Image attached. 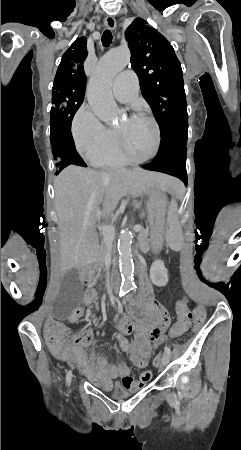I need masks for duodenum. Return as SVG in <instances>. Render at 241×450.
I'll return each instance as SVG.
<instances>
[{
  "mask_svg": "<svg viewBox=\"0 0 241 450\" xmlns=\"http://www.w3.org/2000/svg\"><path fill=\"white\" fill-rule=\"evenodd\" d=\"M138 274H139V280H140L141 288L144 291H147L148 290V284L146 282V278H145L144 270H143L142 266H139ZM82 281L84 283H86V284H89V283L92 282V274H91V272L89 270H85L82 273ZM120 285H121V280H120V278L118 276H116L115 278H113L111 280V282H110V284L108 286V290L110 292L118 291L120 289Z\"/></svg>",
  "mask_w": 241,
  "mask_h": 450,
  "instance_id": "410a0bca",
  "label": "duodenum"
}]
</instances>
